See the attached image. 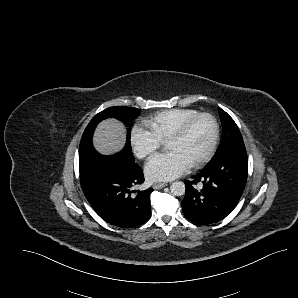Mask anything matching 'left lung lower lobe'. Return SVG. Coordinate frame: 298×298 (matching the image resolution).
<instances>
[{
	"label": "left lung lower lobe",
	"mask_w": 298,
	"mask_h": 298,
	"mask_svg": "<svg viewBox=\"0 0 298 298\" xmlns=\"http://www.w3.org/2000/svg\"><path fill=\"white\" fill-rule=\"evenodd\" d=\"M248 158L245 146L210 161L192 181H185L182 200L184 216L200 225L225 218L237 205L247 181ZM199 183V187L195 185ZM203 184V187L201 184Z\"/></svg>",
	"instance_id": "obj_1"
}]
</instances>
